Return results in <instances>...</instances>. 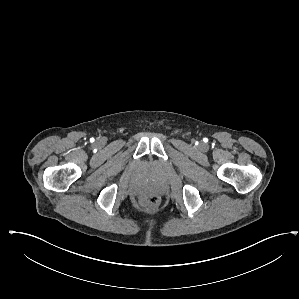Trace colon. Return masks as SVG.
Here are the masks:
<instances>
[{"mask_svg":"<svg viewBox=\"0 0 299 299\" xmlns=\"http://www.w3.org/2000/svg\"><path fill=\"white\" fill-rule=\"evenodd\" d=\"M142 203L147 207L154 208L158 204V198L155 195H148L143 198Z\"/></svg>","mask_w":299,"mask_h":299,"instance_id":"obj_1","label":"colon"}]
</instances>
